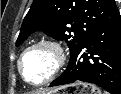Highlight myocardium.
I'll return each mask as SVG.
<instances>
[{"instance_id":"1","label":"myocardium","mask_w":121,"mask_h":94,"mask_svg":"<svg viewBox=\"0 0 121 94\" xmlns=\"http://www.w3.org/2000/svg\"><path fill=\"white\" fill-rule=\"evenodd\" d=\"M41 48H45L49 50V52L52 54L53 66L50 70V73L43 80L39 82H31L24 76V73L22 70V61L28 53ZM66 62H67L66 52L63 46L59 42L52 39H40L32 43L31 45L27 46L22 51L17 61V69L20 76L26 83H28L31 86L38 87V86H43L51 82L52 80H54L61 73L62 69L66 65Z\"/></svg>"}]
</instances>
